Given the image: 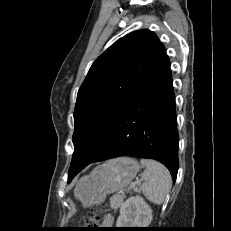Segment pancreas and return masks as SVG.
Segmentation results:
<instances>
[{
	"label": "pancreas",
	"instance_id": "1",
	"mask_svg": "<svg viewBox=\"0 0 231 231\" xmlns=\"http://www.w3.org/2000/svg\"><path fill=\"white\" fill-rule=\"evenodd\" d=\"M125 196L124 195H114L111 199H110V203H111V208L113 210H117L118 208H120L123 204Z\"/></svg>",
	"mask_w": 231,
	"mask_h": 231
}]
</instances>
